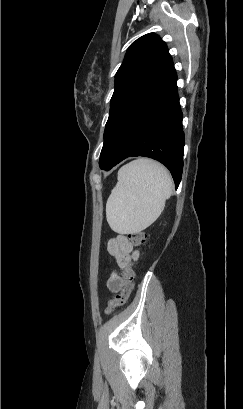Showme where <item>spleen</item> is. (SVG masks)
Here are the masks:
<instances>
[{
    "instance_id": "3e777b00",
    "label": "spleen",
    "mask_w": 243,
    "mask_h": 409,
    "mask_svg": "<svg viewBox=\"0 0 243 409\" xmlns=\"http://www.w3.org/2000/svg\"><path fill=\"white\" fill-rule=\"evenodd\" d=\"M117 179L106 203L107 222L122 234L144 230L160 216L172 194L171 175L160 163L140 158L121 167Z\"/></svg>"
}]
</instances>
